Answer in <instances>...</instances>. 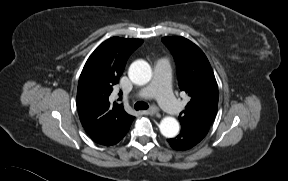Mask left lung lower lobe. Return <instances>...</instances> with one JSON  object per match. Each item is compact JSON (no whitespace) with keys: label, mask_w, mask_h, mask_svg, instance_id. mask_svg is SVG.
Listing matches in <instances>:
<instances>
[{"label":"left lung lower lobe","mask_w":288,"mask_h":181,"mask_svg":"<svg viewBox=\"0 0 288 181\" xmlns=\"http://www.w3.org/2000/svg\"><path fill=\"white\" fill-rule=\"evenodd\" d=\"M208 133V129L182 126L176 138L168 139L170 146L175 150H188L198 144Z\"/></svg>","instance_id":"0a47b994"}]
</instances>
